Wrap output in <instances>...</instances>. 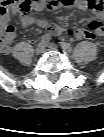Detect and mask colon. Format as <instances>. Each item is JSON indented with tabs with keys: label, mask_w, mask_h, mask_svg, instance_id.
I'll use <instances>...</instances> for the list:
<instances>
[{
	"label": "colon",
	"mask_w": 104,
	"mask_h": 137,
	"mask_svg": "<svg viewBox=\"0 0 104 137\" xmlns=\"http://www.w3.org/2000/svg\"><path fill=\"white\" fill-rule=\"evenodd\" d=\"M5 6L12 7L22 12H27L31 9L29 5V0H5ZM91 28H99L101 24L99 22H94L90 26ZM14 32V27L12 25L2 26L1 25V35L0 41H2L7 35H10ZM71 34V30L68 32Z\"/></svg>",
	"instance_id": "5ec220e1"
}]
</instances>
